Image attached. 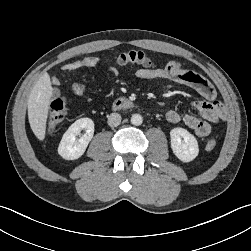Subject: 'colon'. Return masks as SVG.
<instances>
[{
	"label": "colon",
	"mask_w": 251,
	"mask_h": 251,
	"mask_svg": "<svg viewBox=\"0 0 251 251\" xmlns=\"http://www.w3.org/2000/svg\"><path fill=\"white\" fill-rule=\"evenodd\" d=\"M118 65L135 64L145 67L152 66L153 63L145 52L141 50H131L120 54L116 58ZM68 112V104L66 99L57 98L51 104V109L47 119V132L48 134H54L61 126ZM216 140L211 138L206 143V148L212 150L216 147Z\"/></svg>",
	"instance_id": "1"
}]
</instances>
